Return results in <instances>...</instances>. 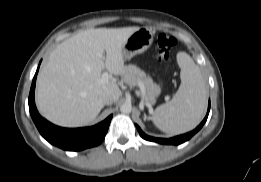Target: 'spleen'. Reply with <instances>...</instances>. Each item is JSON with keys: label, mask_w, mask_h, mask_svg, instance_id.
Listing matches in <instances>:
<instances>
[{"label": "spleen", "mask_w": 261, "mask_h": 182, "mask_svg": "<svg viewBox=\"0 0 261 182\" xmlns=\"http://www.w3.org/2000/svg\"><path fill=\"white\" fill-rule=\"evenodd\" d=\"M181 69V84L166 104L157 107L152 121L161 131L180 134L195 128L203 118L207 104V89L200 69L185 52L177 54Z\"/></svg>", "instance_id": "3e777b00"}]
</instances>
